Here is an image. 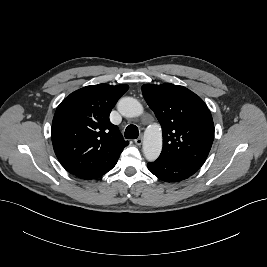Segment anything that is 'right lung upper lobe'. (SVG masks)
<instances>
[{
	"label": "right lung upper lobe",
	"instance_id": "1",
	"mask_svg": "<svg viewBox=\"0 0 267 267\" xmlns=\"http://www.w3.org/2000/svg\"><path fill=\"white\" fill-rule=\"evenodd\" d=\"M127 85H90L66 97L57 107L51 137L62 166L82 179L111 170L129 142L109 120Z\"/></svg>",
	"mask_w": 267,
	"mask_h": 267
}]
</instances>
